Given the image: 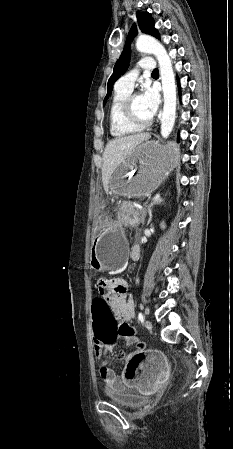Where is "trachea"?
<instances>
[{"label":"trachea","instance_id":"3493384b","mask_svg":"<svg viewBox=\"0 0 233 449\" xmlns=\"http://www.w3.org/2000/svg\"><path fill=\"white\" fill-rule=\"evenodd\" d=\"M152 74H159L158 69H154V70L152 71Z\"/></svg>","mask_w":233,"mask_h":449}]
</instances>
